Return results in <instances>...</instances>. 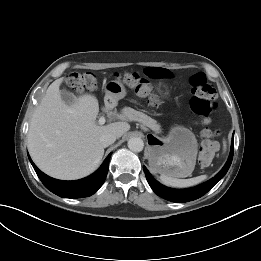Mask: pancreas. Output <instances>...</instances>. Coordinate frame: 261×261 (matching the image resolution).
<instances>
[{"label":"pancreas","mask_w":261,"mask_h":261,"mask_svg":"<svg viewBox=\"0 0 261 261\" xmlns=\"http://www.w3.org/2000/svg\"><path fill=\"white\" fill-rule=\"evenodd\" d=\"M124 114L130 120L138 121V122L142 123L143 125L150 127L154 130H158L160 127L154 119H152L151 117L147 116L146 114L136 111L130 107L124 109Z\"/></svg>","instance_id":"obj_1"}]
</instances>
